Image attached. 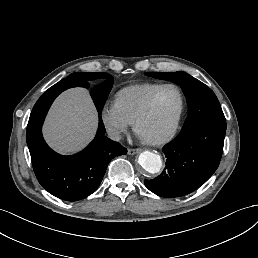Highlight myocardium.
Instances as JSON below:
<instances>
[{
  "label": "myocardium",
  "instance_id": "myocardium-1",
  "mask_svg": "<svg viewBox=\"0 0 258 258\" xmlns=\"http://www.w3.org/2000/svg\"><path fill=\"white\" fill-rule=\"evenodd\" d=\"M165 88H171V89L175 90L177 95H178L179 109H178L176 121L174 123V126H173L172 130L168 134H166L165 136H162V137H159V138H150V137H147V136L141 134V132L139 130V125H140L141 121L147 116L155 95L160 90L165 89ZM182 112H183V97H182V94L179 91V89L172 84L160 85L148 96L142 110L140 111V113L136 117V119L134 121V132L140 140H142V141H144L148 144L160 145V144L167 143L171 139H173V137L175 136V134L178 130L180 120H181V116H182Z\"/></svg>",
  "mask_w": 258,
  "mask_h": 258
}]
</instances>
